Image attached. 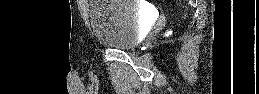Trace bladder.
I'll list each match as a JSON object with an SVG mask.
<instances>
[{
	"label": "bladder",
	"mask_w": 259,
	"mask_h": 94,
	"mask_svg": "<svg viewBox=\"0 0 259 94\" xmlns=\"http://www.w3.org/2000/svg\"><path fill=\"white\" fill-rule=\"evenodd\" d=\"M89 22L98 43L117 50L136 47L146 25L141 7L133 0L90 1Z\"/></svg>",
	"instance_id": "1"
}]
</instances>
